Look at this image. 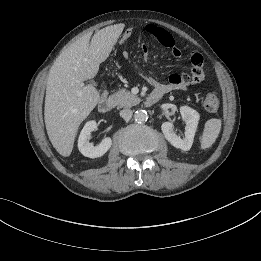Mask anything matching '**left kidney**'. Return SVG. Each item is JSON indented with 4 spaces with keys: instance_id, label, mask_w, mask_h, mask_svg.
Instances as JSON below:
<instances>
[{
    "instance_id": "5707ae66",
    "label": "left kidney",
    "mask_w": 261,
    "mask_h": 261,
    "mask_svg": "<svg viewBox=\"0 0 261 261\" xmlns=\"http://www.w3.org/2000/svg\"><path fill=\"white\" fill-rule=\"evenodd\" d=\"M180 114L182 117V120L186 123L185 127V137L182 139L181 137L177 136L176 133L173 130V123L172 122H164L161 125L162 132L168 142L176 148H179L183 151L190 150L195 132L197 130V125L199 121V113L188 107V106H182L180 107Z\"/></svg>"
}]
</instances>
